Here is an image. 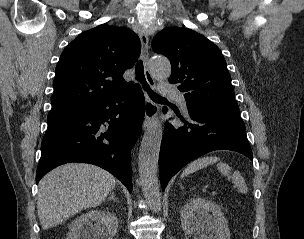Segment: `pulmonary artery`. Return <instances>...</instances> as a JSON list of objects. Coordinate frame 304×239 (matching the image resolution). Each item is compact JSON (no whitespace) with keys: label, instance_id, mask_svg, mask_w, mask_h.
Wrapping results in <instances>:
<instances>
[{"label":"pulmonary artery","instance_id":"obj_1","mask_svg":"<svg viewBox=\"0 0 304 239\" xmlns=\"http://www.w3.org/2000/svg\"><path fill=\"white\" fill-rule=\"evenodd\" d=\"M160 92L165 96L176 99L180 107L185 111L187 110L186 98L182 92L172 87L171 85L165 83H162L160 85Z\"/></svg>","mask_w":304,"mask_h":239}]
</instances>
